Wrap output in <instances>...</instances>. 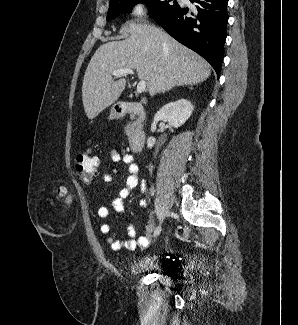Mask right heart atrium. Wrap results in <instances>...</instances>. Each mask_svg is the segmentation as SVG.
I'll return each instance as SVG.
<instances>
[{
    "mask_svg": "<svg viewBox=\"0 0 298 325\" xmlns=\"http://www.w3.org/2000/svg\"><path fill=\"white\" fill-rule=\"evenodd\" d=\"M145 6L142 4H136L132 6L128 12V17L130 19H137L145 13Z\"/></svg>",
    "mask_w": 298,
    "mask_h": 325,
    "instance_id": "right-heart-atrium-1",
    "label": "right heart atrium"
}]
</instances>
